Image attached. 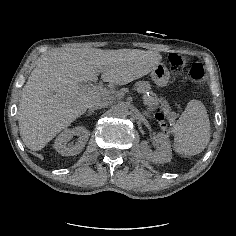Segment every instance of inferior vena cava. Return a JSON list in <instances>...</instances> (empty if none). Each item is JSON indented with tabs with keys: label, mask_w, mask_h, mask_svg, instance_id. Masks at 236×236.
Segmentation results:
<instances>
[{
	"label": "inferior vena cava",
	"mask_w": 236,
	"mask_h": 236,
	"mask_svg": "<svg viewBox=\"0 0 236 236\" xmlns=\"http://www.w3.org/2000/svg\"><path fill=\"white\" fill-rule=\"evenodd\" d=\"M108 104L109 102L107 100H101V101L96 102L95 104H92V106H93V109L94 108L101 109L107 106Z\"/></svg>",
	"instance_id": "602c4592"
}]
</instances>
